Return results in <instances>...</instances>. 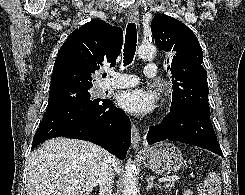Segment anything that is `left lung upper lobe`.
I'll list each match as a JSON object with an SVG mask.
<instances>
[{
	"label": "left lung upper lobe",
	"instance_id": "5c2ea615",
	"mask_svg": "<svg viewBox=\"0 0 245 195\" xmlns=\"http://www.w3.org/2000/svg\"><path fill=\"white\" fill-rule=\"evenodd\" d=\"M151 31L159 49L172 54L167 62L172 73L171 110L197 107L210 111L207 72L202 67L203 52L197 37L181 21L165 14L156 15Z\"/></svg>",
	"mask_w": 245,
	"mask_h": 195
}]
</instances>
